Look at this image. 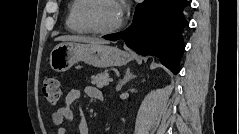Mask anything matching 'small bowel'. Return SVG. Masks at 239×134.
Segmentation results:
<instances>
[{"label": "small bowel", "instance_id": "obj_1", "mask_svg": "<svg viewBox=\"0 0 239 134\" xmlns=\"http://www.w3.org/2000/svg\"><path fill=\"white\" fill-rule=\"evenodd\" d=\"M85 92L92 99H96V100L103 99L102 92L96 87L88 86L85 88ZM80 97H81V91L79 89L70 90L67 93L62 106L58 108L52 114L53 124L60 127L59 134H68L67 130L63 127V124L65 121L74 120L75 112H74L73 105L76 102H78ZM78 131H79V134H88V127L85 120L80 119L78 123Z\"/></svg>", "mask_w": 239, "mask_h": 134}]
</instances>
